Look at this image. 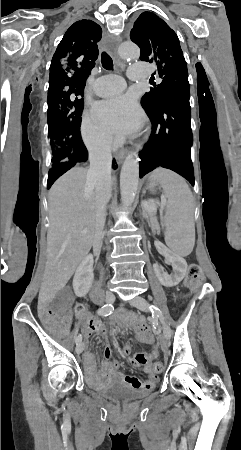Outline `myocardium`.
<instances>
[{
  "mask_svg": "<svg viewBox=\"0 0 241 450\" xmlns=\"http://www.w3.org/2000/svg\"><path fill=\"white\" fill-rule=\"evenodd\" d=\"M142 136H143V137H147V136H148V133H147V132H143V133H142ZM144 140H145V139H144ZM141 148H142V149H145V148H146V145H145V144H142V145H141Z\"/></svg>",
  "mask_w": 241,
  "mask_h": 450,
  "instance_id": "myocardium-1",
  "label": "myocardium"
}]
</instances>
